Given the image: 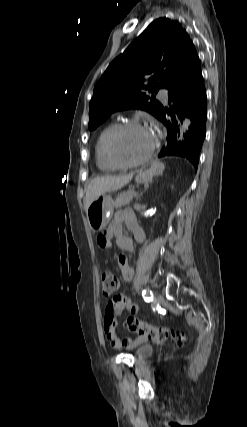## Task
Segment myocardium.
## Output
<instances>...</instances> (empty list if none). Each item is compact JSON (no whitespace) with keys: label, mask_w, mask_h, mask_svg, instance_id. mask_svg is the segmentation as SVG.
<instances>
[{"label":"myocardium","mask_w":247,"mask_h":427,"mask_svg":"<svg viewBox=\"0 0 247 427\" xmlns=\"http://www.w3.org/2000/svg\"><path fill=\"white\" fill-rule=\"evenodd\" d=\"M133 127H146V126L136 120L125 121L123 123L118 124L107 138L106 145H105L106 156L108 160L119 169L136 167V166L147 163L154 155L156 148L158 146V135L155 133L154 141L151 148L146 153V155H144L142 158L135 161H123L122 159H120L115 150L116 141L124 131Z\"/></svg>","instance_id":"f54148a6"}]
</instances>
